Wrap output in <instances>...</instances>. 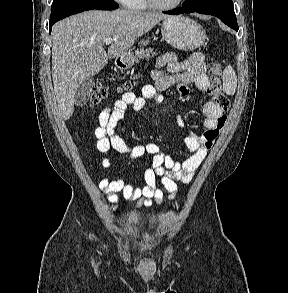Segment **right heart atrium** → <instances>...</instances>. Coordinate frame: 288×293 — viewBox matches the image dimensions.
Wrapping results in <instances>:
<instances>
[{
	"label": "right heart atrium",
	"instance_id": "1",
	"mask_svg": "<svg viewBox=\"0 0 288 293\" xmlns=\"http://www.w3.org/2000/svg\"><path fill=\"white\" fill-rule=\"evenodd\" d=\"M116 1L125 5L128 0H116Z\"/></svg>",
	"mask_w": 288,
	"mask_h": 293
}]
</instances>
